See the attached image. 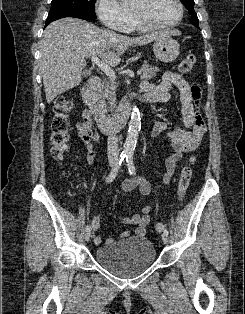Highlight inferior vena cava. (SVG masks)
<instances>
[{"instance_id": "inferior-vena-cava-1", "label": "inferior vena cava", "mask_w": 245, "mask_h": 314, "mask_svg": "<svg viewBox=\"0 0 245 314\" xmlns=\"http://www.w3.org/2000/svg\"><path fill=\"white\" fill-rule=\"evenodd\" d=\"M117 131L111 127L109 131L108 141H107V155L109 161H117L119 159V147L118 138L116 137Z\"/></svg>"}]
</instances>
